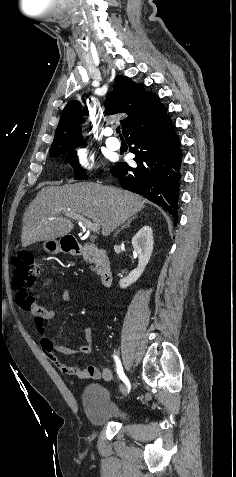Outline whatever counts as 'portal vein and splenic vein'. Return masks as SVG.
<instances>
[{"mask_svg":"<svg viewBox=\"0 0 236 477\" xmlns=\"http://www.w3.org/2000/svg\"><path fill=\"white\" fill-rule=\"evenodd\" d=\"M63 214L67 217L77 220L79 224L91 230L92 232H98L100 230V227L97 223H91L89 220L85 219L83 216L79 214H75L72 212H64Z\"/></svg>","mask_w":236,"mask_h":477,"instance_id":"portal-vein-and-splenic-vein-1","label":"portal vein and splenic vein"}]
</instances>
